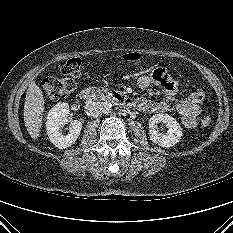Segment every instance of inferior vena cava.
<instances>
[{
	"mask_svg": "<svg viewBox=\"0 0 233 233\" xmlns=\"http://www.w3.org/2000/svg\"><path fill=\"white\" fill-rule=\"evenodd\" d=\"M103 103L98 101H87L85 104V112L88 116L97 118L102 112Z\"/></svg>",
	"mask_w": 233,
	"mask_h": 233,
	"instance_id": "obj_1",
	"label": "inferior vena cava"
}]
</instances>
